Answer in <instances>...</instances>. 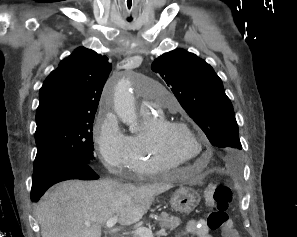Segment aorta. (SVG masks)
<instances>
[{
	"label": "aorta",
	"mask_w": 297,
	"mask_h": 237,
	"mask_svg": "<svg viewBox=\"0 0 297 237\" xmlns=\"http://www.w3.org/2000/svg\"><path fill=\"white\" fill-rule=\"evenodd\" d=\"M131 82L127 78L121 79L114 93V109L120 120L129 126L131 132L138 131L135 101L130 93Z\"/></svg>",
	"instance_id": "aorta-1"
}]
</instances>
